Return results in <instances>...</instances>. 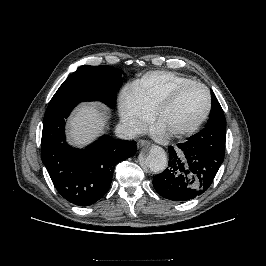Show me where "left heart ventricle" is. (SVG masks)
<instances>
[{"instance_id": "left-heart-ventricle-1", "label": "left heart ventricle", "mask_w": 266, "mask_h": 266, "mask_svg": "<svg viewBox=\"0 0 266 266\" xmlns=\"http://www.w3.org/2000/svg\"><path fill=\"white\" fill-rule=\"evenodd\" d=\"M206 104L207 98L203 89L189 87L161 113L157 122L166 132L189 126L202 115Z\"/></svg>"}]
</instances>
